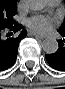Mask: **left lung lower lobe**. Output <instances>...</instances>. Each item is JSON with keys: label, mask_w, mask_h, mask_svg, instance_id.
<instances>
[{"label": "left lung lower lobe", "mask_w": 65, "mask_h": 89, "mask_svg": "<svg viewBox=\"0 0 65 89\" xmlns=\"http://www.w3.org/2000/svg\"><path fill=\"white\" fill-rule=\"evenodd\" d=\"M59 33L64 37L58 40L59 49L54 54L45 55V58L55 70L65 71V32L59 31Z\"/></svg>", "instance_id": "1"}]
</instances>
